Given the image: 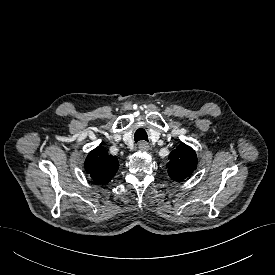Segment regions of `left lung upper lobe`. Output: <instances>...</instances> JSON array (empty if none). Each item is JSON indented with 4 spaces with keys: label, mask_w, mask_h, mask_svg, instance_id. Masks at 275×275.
<instances>
[{
    "label": "left lung upper lobe",
    "mask_w": 275,
    "mask_h": 275,
    "mask_svg": "<svg viewBox=\"0 0 275 275\" xmlns=\"http://www.w3.org/2000/svg\"><path fill=\"white\" fill-rule=\"evenodd\" d=\"M169 159L168 174L175 181H183L197 166L195 151L183 142L169 154Z\"/></svg>",
    "instance_id": "5c2ea615"
}]
</instances>
